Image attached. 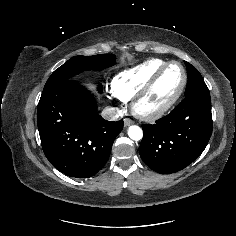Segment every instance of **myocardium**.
<instances>
[{
  "instance_id": "f54148a6",
  "label": "myocardium",
  "mask_w": 236,
  "mask_h": 236,
  "mask_svg": "<svg viewBox=\"0 0 236 236\" xmlns=\"http://www.w3.org/2000/svg\"><path fill=\"white\" fill-rule=\"evenodd\" d=\"M171 65H178L183 74L181 85L176 92V94L162 107L153 111H143L140 108V103L146 98V96L151 92L153 87L156 85L161 76ZM187 84V72L185 67L178 61H170L165 63L161 68H159L151 78L146 82V84L137 92L132 101V111L133 113L142 120L145 121H155L163 117L167 112H169L175 104L178 102L182 96L184 89Z\"/></svg>"
}]
</instances>
